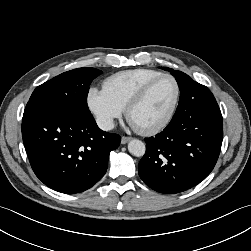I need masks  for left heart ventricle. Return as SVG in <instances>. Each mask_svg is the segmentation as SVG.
I'll return each instance as SVG.
<instances>
[{
    "label": "left heart ventricle",
    "instance_id": "1",
    "mask_svg": "<svg viewBox=\"0 0 251 251\" xmlns=\"http://www.w3.org/2000/svg\"><path fill=\"white\" fill-rule=\"evenodd\" d=\"M175 96V85L169 78L155 83L144 100L132 111L131 121L137 127L160 122L170 110Z\"/></svg>",
    "mask_w": 251,
    "mask_h": 251
}]
</instances>
